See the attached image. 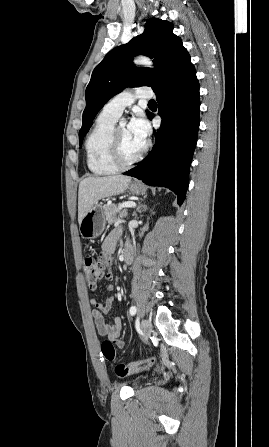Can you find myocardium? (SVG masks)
I'll use <instances>...</instances> for the list:
<instances>
[{
	"label": "myocardium",
	"mask_w": 269,
	"mask_h": 447,
	"mask_svg": "<svg viewBox=\"0 0 269 447\" xmlns=\"http://www.w3.org/2000/svg\"><path fill=\"white\" fill-rule=\"evenodd\" d=\"M118 127H114L111 135H110V141H109V147H110V157L112 162L118 167V168H128L132 165L138 163L142 160V158L145 156L149 149V143L146 142L144 149L142 152L134 159L130 161H126L123 157L122 149L119 143L118 135H117Z\"/></svg>",
	"instance_id": "myocardium-1"
}]
</instances>
